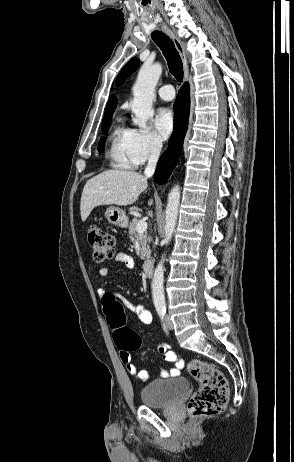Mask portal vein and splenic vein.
Here are the masks:
<instances>
[{"mask_svg": "<svg viewBox=\"0 0 294 462\" xmlns=\"http://www.w3.org/2000/svg\"><path fill=\"white\" fill-rule=\"evenodd\" d=\"M147 222L142 219V220H139L137 226H136V230L138 233H144L147 229Z\"/></svg>", "mask_w": 294, "mask_h": 462, "instance_id": "obj_1", "label": "portal vein and splenic vein"}]
</instances>
